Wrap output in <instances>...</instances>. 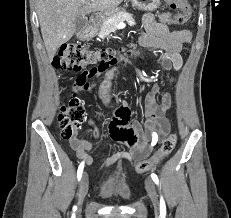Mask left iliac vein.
I'll return each instance as SVG.
<instances>
[{
	"label": "left iliac vein",
	"mask_w": 231,
	"mask_h": 218,
	"mask_svg": "<svg viewBox=\"0 0 231 218\" xmlns=\"http://www.w3.org/2000/svg\"><path fill=\"white\" fill-rule=\"evenodd\" d=\"M145 186H146L147 193L153 203L154 209L156 212H158L159 211V197L157 193V188L154 182L150 178L146 179Z\"/></svg>",
	"instance_id": "obj_1"
}]
</instances>
